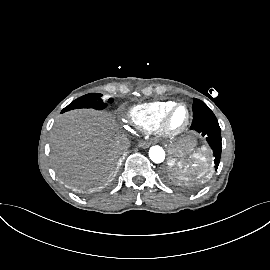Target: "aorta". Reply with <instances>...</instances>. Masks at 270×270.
<instances>
[{"label": "aorta", "instance_id": "aorta-1", "mask_svg": "<svg viewBox=\"0 0 270 270\" xmlns=\"http://www.w3.org/2000/svg\"><path fill=\"white\" fill-rule=\"evenodd\" d=\"M149 157L154 163H162L165 160V151L160 146H152L149 149Z\"/></svg>", "mask_w": 270, "mask_h": 270}]
</instances>
